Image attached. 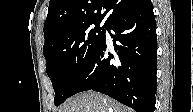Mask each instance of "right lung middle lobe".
<instances>
[{"label":"right lung middle lobe","instance_id":"obj_1","mask_svg":"<svg viewBox=\"0 0 193 112\" xmlns=\"http://www.w3.org/2000/svg\"><path fill=\"white\" fill-rule=\"evenodd\" d=\"M105 35L100 23L77 24L61 30L43 46L46 72L58 106L70 97L72 88Z\"/></svg>","mask_w":193,"mask_h":112}]
</instances>
